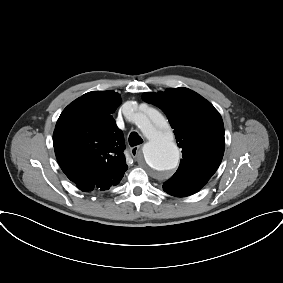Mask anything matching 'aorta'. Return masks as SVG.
Returning <instances> with one entry per match:
<instances>
[{
  "mask_svg": "<svg viewBox=\"0 0 283 283\" xmlns=\"http://www.w3.org/2000/svg\"><path fill=\"white\" fill-rule=\"evenodd\" d=\"M127 118L147 138L143 154L147 165L158 173H164L177 167L180 153L173 134L166 125L164 117L155 109L129 114Z\"/></svg>",
  "mask_w": 283,
  "mask_h": 283,
  "instance_id": "obj_1",
  "label": "aorta"
}]
</instances>
